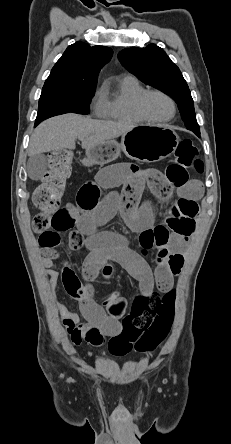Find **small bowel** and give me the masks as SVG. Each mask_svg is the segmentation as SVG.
Segmentation results:
<instances>
[{"label":"small bowel","instance_id":"1","mask_svg":"<svg viewBox=\"0 0 231 444\" xmlns=\"http://www.w3.org/2000/svg\"><path fill=\"white\" fill-rule=\"evenodd\" d=\"M119 186H122L120 193L111 192L101 198V188ZM145 186L160 199H168L172 193L169 182L157 171L143 170L128 163L111 164L100 169L94 181L85 183L79 189L76 205L66 207L73 214L76 225V230L68 237L69 247L74 250L84 247L87 251L82 267L83 294L78 298L80 313L70 310L58 298L59 273L54 265L56 255L50 248L57 244L59 235L51 234L53 244L43 250L41 262L46 267L45 275L49 280L53 303L71 341L76 345L86 341L100 346L106 337L115 336L122 330L121 320L127 312V301L122 297L111 298L105 303L94 299L92 281L100 272L108 279L113 272L112 263L121 265L138 281L141 297L150 296L156 289L170 291L174 277L181 271L188 237L171 231L161 237L155 233L151 227V206L148 203L139 205ZM176 189L181 199L195 203L203 192L202 184L196 180ZM117 213L132 230L140 234V245L144 252L157 249L154 269L142 254L129 248L128 239L123 234L99 230L100 225Z\"/></svg>","mask_w":231,"mask_h":444}]
</instances>
